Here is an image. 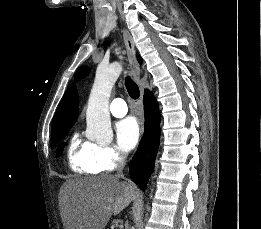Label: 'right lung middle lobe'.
Here are the masks:
<instances>
[{
  "instance_id": "right-lung-middle-lobe-1",
  "label": "right lung middle lobe",
  "mask_w": 261,
  "mask_h": 229,
  "mask_svg": "<svg viewBox=\"0 0 261 229\" xmlns=\"http://www.w3.org/2000/svg\"><path fill=\"white\" fill-rule=\"evenodd\" d=\"M73 124H61L52 127V147L56 146L69 132ZM65 143H62L57 151L56 157H59L64 150Z\"/></svg>"
}]
</instances>
